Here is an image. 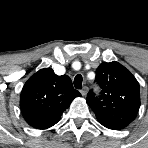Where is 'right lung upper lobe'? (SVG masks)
Returning a JSON list of instances; mask_svg holds the SVG:
<instances>
[{
  "mask_svg": "<svg viewBox=\"0 0 148 148\" xmlns=\"http://www.w3.org/2000/svg\"><path fill=\"white\" fill-rule=\"evenodd\" d=\"M81 96L73 89L71 79L58 76L51 68H44L32 75L23 86L20 108L26 122L36 129L55 125L71 102Z\"/></svg>",
  "mask_w": 148,
  "mask_h": 148,
  "instance_id": "right-lung-upper-lobe-1",
  "label": "right lung upper lobe"
}]
</instances>
